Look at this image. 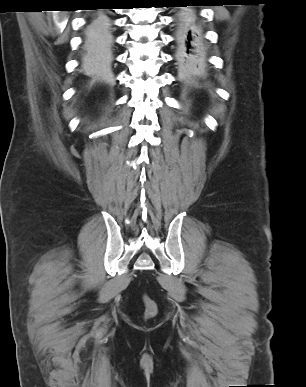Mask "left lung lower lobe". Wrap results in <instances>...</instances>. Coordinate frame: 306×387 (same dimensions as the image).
Returning <instances> with one entry per match:
<instances>
[{
  "instance_id": "1",
  "label": "left lung lower lobe",
  "mask_w": 306,
  "mask_h": 387,
  "mask_svg": "<svg viewBox=\"0 0 306 387\" xmlns=\"http://www.w3.org/2000/svg\"><path fill=\"white\" fill-rule=\"evenodd\" d=\"M203 2L199 0H173V4H184L185 7L177 13L176 29V57L183 65L198 63L204 53V40L196 13L189 6H200Z\"/></svg>"
}]
</instances>
